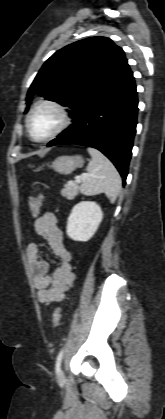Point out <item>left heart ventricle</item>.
<instances>
[{
  "label": "left heart ventricle",
  "mask_w": 165,
  "mask_h": 419,
  "mask_svg": "<svg viewBox=\"0 0 165 419\" xmlns=\"http://www.w3.org/2000/svg\"><path fill=\"white\" fill-rule=\"evenodd\" d=\"M59 123L58 113L50 107L38 108L31 118V131L35 138L42 139L48 136Z\"/></svg>",
  "instance_id": "1"
}]
</instances>
